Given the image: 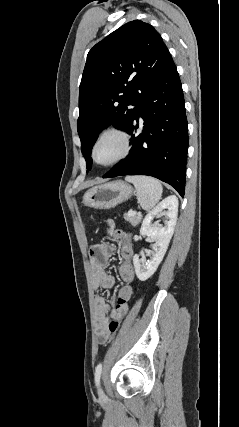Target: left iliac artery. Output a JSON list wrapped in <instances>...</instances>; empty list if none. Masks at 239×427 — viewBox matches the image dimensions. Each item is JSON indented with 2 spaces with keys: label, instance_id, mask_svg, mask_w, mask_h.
<instances>
[{
  "label": "left iliac artery",
  "instance_id": "left-iliac-artery-1",
  "mask_svg": "<svg viewBox=\"0 0 239 427\" xmlns=\"http://www.w3.org/2000/svg\"><path fill=\"white\" fill-rule=\"evenodd\" d=\"M101 373H102V363H99L95 369V374H94L96 386H98L100 383Z\"/></svg>",
  "mask_w": 239,
  "mask_h": 427
}]
</instances>
